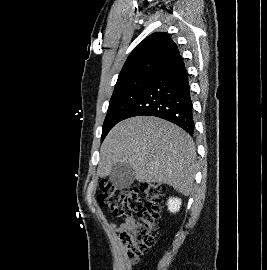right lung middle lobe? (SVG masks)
<instances>
[{
    "mask_svg": "<svg viewBox=\"0 0 267 270\" xmlns=\"http://www.w3.org/2000/svg\"><path fill=\"white\" fill-rule=\"evenodd\" d=\"M154 77V74L141 75L115 86L103 124L101 141L118 122L125 119Z\"/></svg>",
    "mask_w": 267,
    "mask_h": 270,
    "instance_id": "obj_1",
    "label": "right lung middle lobe"
}]
</instances>
